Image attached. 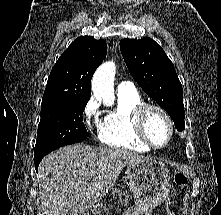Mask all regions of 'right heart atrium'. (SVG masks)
<instances>
[{"instance_id": "obj_1", "label": "right heart atrium", "mask_w": 221, "mask_h": 215, "mask_svg": "<svg viewBox=\"0 0 221 215\" xmlns=\"http://www.w3.org/2000/svg\"><path fill=\"white\" fill-rule=\"evenodd\" d=\"M99 115V102L95 97H91L83 108V117L87 128L91 129L92 124L100 128L98 120Z\"/></svg>"}]
</instances>
